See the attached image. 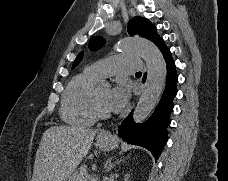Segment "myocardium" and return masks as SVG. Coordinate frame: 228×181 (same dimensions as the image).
Wrapping results in <instances>:
<instances>
[{"mask_svg": "<svg viewBox=\"0 0 228 181\" xmlns=\"http://www.w3.org/2000/svg\"><path fill=\"white\" fill-rule=\"evenodd\" d=\"M94 108H95L96 114L99 117L107 118L110 116L109 111L106 108H104L102 106V104L100 103L99 98H98V92L95 94V97H94Z\"/></svg>", "mask_w": 228, "mask_h": 181, "instance_id": "1", "label": "myocardium"}]
</instances>
